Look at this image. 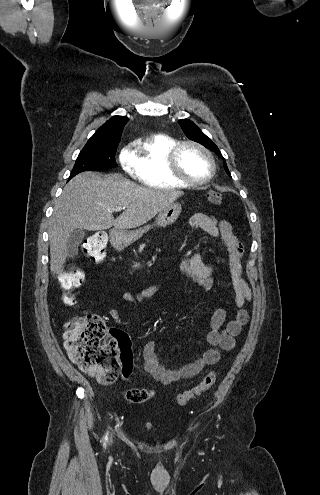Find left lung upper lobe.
Returning <instances> with one entry per match:
<instances>
[{
  "label": "left lung upper lobe",
  "mask_w": 320,
  "mask_h": 495,
  "mask_svg": "<svg viewBox=\"0 0 320 495\" xmlns=\"http://www.w3.org/2000/svg\"><path fill=\"white\" fill-rule=\"evenodd\" d=\"M179 123L185 133V135L193 140V141H196L200 144H202L203 146L207 147L208 149L214 151L219 157H221L223 160V156L221 154V152L219 151L218 147L211 141L210 138H208L200 129L199 127L194 124L191 120H188V119H182V120H179ZM224 167H225V170L227 172V174L229 176L230 175V172L227 168V165L226 163H224Z\"/></svg>",
  "instance_id": "1"
}]
</instances>
